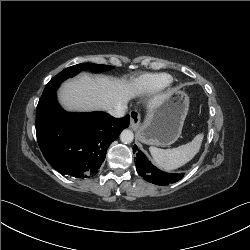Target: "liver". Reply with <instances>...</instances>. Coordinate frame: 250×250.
Instances as JSON below:
<instances>
[{"label": "liver", "mask_w": 250, "mask_h": 250, "mask_svg": "<svg viewBox=\"0 0 250 250\" xmlns=\"http://www.w3.org/2000/svg\"><path fill=\"white\" fill-rule=\"evenodd\" d=\"M141 93L142 88L135 82L82 74L63 83L59 91V100L67 111H109L119 106H127L131 99ZM169 93L155 96L149 101L148 107L154 108Z\"/></svg>", "instance_id": "6515ba94"}]
</instances>
